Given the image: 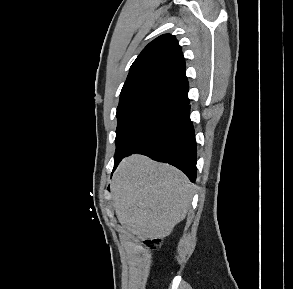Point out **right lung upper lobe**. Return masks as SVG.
<instances>
[{
	"mask_svg": "<svg viewBox=\"0 0 293 289\" xmlns=\"http://www.w3.org/2000/svg\"><path fill=\"white\" fill-rule=\"evenodd\" d=\"M188 88L181 47L175 36L164 34L149 43L132 64L120 102L158 98L181 107L189 103Z\"/></svg>",
	"mask_w": 293,
	"mask_h": 289,
	"instance_id": "1",
	"label": "right lung upper lobe"
}]
</instances>
